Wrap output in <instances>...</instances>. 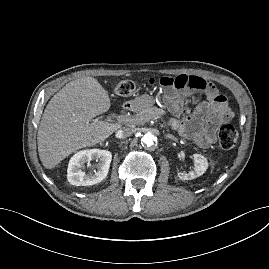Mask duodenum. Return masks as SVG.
Masks as SVG:
<instances>
[{
	"label": "duodenum",
	"instance_id": "duodenum-1",
	"mask_svg": "<svg viewBox=\"0 0 269 269\" xmlns=\"http://www.w3.org/2000/svg\"><path fill=\"white\" fill-rule=\"evenodd\" d=\"M132 107V104L131 103H126L125 105H124V108L125 109H130Z\"/></svg>",
	"mask_w": 269,
	"mask_h": 269
}]
</instances>
